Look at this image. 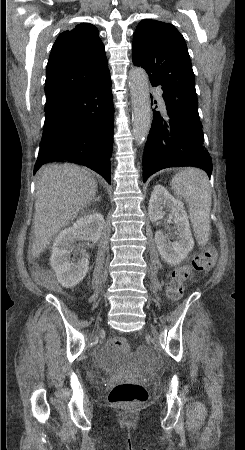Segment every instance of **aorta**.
<instances>
[{
  "instance_id": "obj_1",
  "label": "aorta",
  "mask_w": 245,
  "mask_h": 450,
  "mask_svg": "<svg viewBox=\"0 0 245 450\" xmlns=\"http://www.w3.org/2000/svg\"><path fill=\"white\" fill-rule=\"evenodd\" d=\"M129 86L132 102L133 136L137 143H143L151 126L149 79L143 68L133 67L130 70Z\"/></svg>"
}]
</instances>
